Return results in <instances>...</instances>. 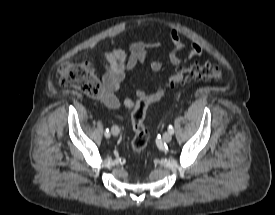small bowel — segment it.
<instances>
[{
    "label": "small bowel",
    "mask_w": 275,
    "mask_h": 215,
    "mask_svg": "<svg viewBox=\"0 0 275 215\" xmlns=\"http://www.w3.org/2000/svg\"><path fill=\"white\" fill-rule=\"evenodd\" d=\"M173 45L172 51L169 53V59L172 64L179 66L187 59L200 56L202 48L199 44L192 42L185 57H181L185 45L178 32L174 29L169 34ZM158 46L153 41H134L129 45V55L121 48L114 47L106 52L103 56L105 73L102 77L103 82V102L110 109H118L120 100L116 95L125 79L128 72L134 70L138 65H143L146 62L150 50L156 49ZM162 68L159 60L150 62V69L153 73H158ZM143 91L137 92L138 99L145 97ZM125 107L132 109L135 102L131 98H125L123 101Z\"/></svg>",
    "instance_id": "1"
}]
</instances>
